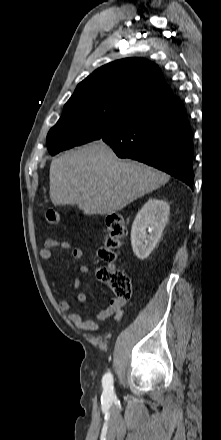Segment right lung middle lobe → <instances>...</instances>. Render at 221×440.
<instances>
[{
	"instance_id": "obj_1",
	"label": "right lung middle lobe",
	"mask_w": 221,
	"mask_h": 440,
	"mask_svg": "<svg viewBox=\"0 0 221 440\" xmlns=\"http://www.w3.org/2000/svg\"><path fill=\"white\" fill-rule=\"evenodd\" d=\"M135 110L108 101L65 104L63 114L49 131L47 146L53 156L60 151L98 140Z\"/></svg>"
}]
</instances>
